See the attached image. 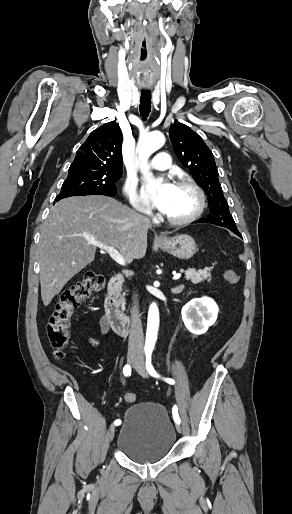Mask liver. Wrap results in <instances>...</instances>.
Instances as JSON below:
<instances>
[{
	"label": "liver",
	"instance_id": "obj_1",
	"mask_svg": "<svg viewBox=\"0 0 292 514\" xmlns=\"http://www.w3.org/2000/svg\"><path fill=\"white\" fill-rule=\"evenodd\" d=\"M148 228L144 216L114 198L73 196L60 200L41 226L39 266L44 306L93 262L98 244L117 248L127 264L144 258Z\"/></svg>",
	"mask_w": 292,
	"mask_h": 514
}]
</instances>
